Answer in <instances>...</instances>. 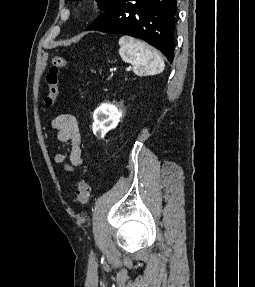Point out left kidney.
<instances>
[{"mask_svg":"<svg viewBox=\"0 0 255 287\" xmlns=\"http://www.w3.org/2000/svg\"><path fill=\"white\" fill-rule=\"evenodd\" d=\"M120 118H122V112L118 110L117 106H113V104H101L93 114V134L97 138H104L109 130H113V128L118 126Z\"/></svg>","mask_w":255,"mask_h":287,"instance_id":"left-kidney-1","label":"left kidney"}]
</instances>
